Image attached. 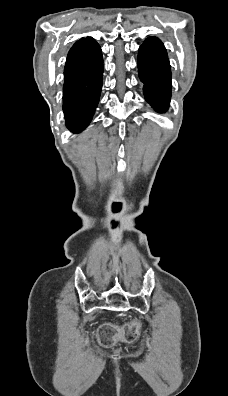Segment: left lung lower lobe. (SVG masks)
<instances>
[{"label": "left lung lower lobe", "mask_w": 228, "mask_h": 396, "mask_svg": "<svg viewBox=\"0 0 228 396\" xmlns=\"http://www.w3.org/2000/svg\"><path fill=\"white\" fill-rule=\"evenodd\" d=\"M139 77L146 101L159 112H165L171 97V70L166 49L155 37L147 38L139 48Z\"/></svg>", "instance_id": "obj_1"}]
</instances>
